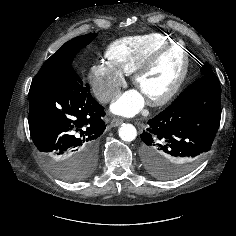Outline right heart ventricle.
<instances>
[{"mask_svg": "<svg viewBox=\"0 0 236 236\" xmlns=\"http://www.w3.org/2000/svg\"><path fill=\"white\" fill-rule=\"evenodd\" d=\"M174 39L168 34L151 33L119 39L110 44L105 56L108 63L123 75H131L157 49Z\"/></svg>", "mask_w": 236, "mask_h": 236, "instance_id": "right-heart-ventricle-1", "label": "right heart ventricle"}]
</instances>
